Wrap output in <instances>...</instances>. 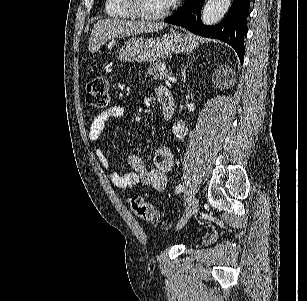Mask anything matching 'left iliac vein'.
<instances>
[{
	"instance_id": "4c4485c4",
	"label": "left iliac vein",
	"mask_w": 307,
	"mask_h": 301,
	"mask_svg": "<svg viewBox=\"0 0 307 301\" xmlns=\"http://www.w3.org/2000/svg\"><path fill=\"white\" fill-rule=\"evenodd\" d=\"M199 205L198 197H193L189 202L185 213L182 215L181 219L178 222L177 228H182L189 220V218L196 212Z\"/></svg>"
}]
</instances>
